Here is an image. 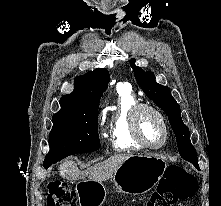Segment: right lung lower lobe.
<instances>
[{"label": "right lung lower lobe", "mask_w": 221, "mask_h": 206, "mask_svg": "<svg viewBox=\"0 0 221 206\" xmlns=\"http://www.w3.org/2000/svg\"><path fill=\"white\" fill-rule=\"evenodd\" d=\"M50 165H44V167L47 169Z\"/></svg>", "instance_id": "98d812e1"}]
</instances>
